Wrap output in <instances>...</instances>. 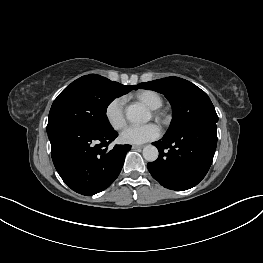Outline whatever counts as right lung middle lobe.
Instances as JSON below:
<instances>
[{
  "label": "right lung middle lobe",
  "instance_id": "obj_1",
  "mask_svg": "<svg viewBox=\"0 0 263 263\" xmlns=\"http://www.w3.org/2000/svg\"><path fill=\"white\" fill-rule=\"evenodd\" d=\"M126 93L105 77L95 74L83 76L72 82L54 100L47 131L64 125L111 129L106 116L107 107L115 98Z\"/></svg>",
  "mask_w": 263,
  "mask_h": 263
}]
</instances>
